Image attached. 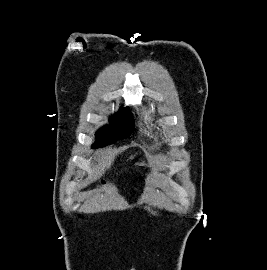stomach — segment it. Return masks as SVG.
I'll return each instance as SVG.
<instances>
[{
    "label": "stomach",
    "instance_id": "0dacf381",
    "mask_svg": "<svg viewBox=\"0 0 267 270\" xmlns=\"http://www.w3.org/2000/svg\"><path fill=\"white\" fill-rule=\"evenodd\" d=\"M138 165H144V162H139Z\"/></svg>",
    "mask_w": 267,
    "mask_h": 270
}]
</instances>
